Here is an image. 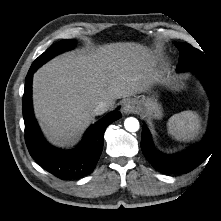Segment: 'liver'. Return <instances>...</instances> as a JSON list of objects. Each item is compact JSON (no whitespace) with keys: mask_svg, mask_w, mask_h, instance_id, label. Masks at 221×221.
<instances>
[{"mask_svg":"<svg viewBox=\"0 0 221 221\" xmlns=\"http://www.w3.org/2000/svg\"><path fill=\"white\" fill-rule=\"evenodd\" d=\"M155 67L151 52L130 42L57 56L33 77L34 112L42 131L55 145L73 144L94 120L99 102L112 109L115 100L144 92Z\"/></svg>","mask_w":221,"mask_h":221,"instance_id":"obj_1","label":"liver"}]
</instances>
